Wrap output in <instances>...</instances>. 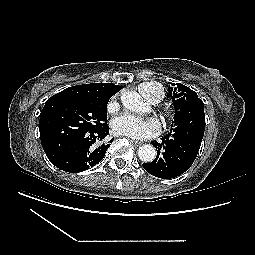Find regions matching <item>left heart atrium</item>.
Instances as JSON below:
<instances>
[{"label": "left heart atrium", "instance_id": "left-heart-atrium-1", "mask_svg": "<svg viewBox=\"0 0 255 255\" xmlns=\"http://www.w3.org/2000/svg\"><path fill=\"white\" fill-rule=\"evenodd\" d=\"M111 127L114 133L134 139H147L159 133V123L153 118H138L120 114L113 118Z\"/></svg>", "mask_w": 255, "mask_h": 255}]
</instances>
